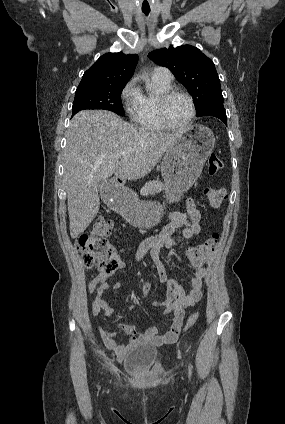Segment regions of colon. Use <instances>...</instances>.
Instances as JSON below:
<instances>
[{
    "mask_svg": "<svg viewBox=\"0 0 285 424\" xmlns=\"http://www.w3.org/2000/svg\"><path fill=\"white\" fill-rule=\"evenodd\" d=\"M222 160L216 154H211L207 159V172L215 175L222 169ZM204 196L210 204L218 208L226 199V191L221 188L208 187L204 190ZM114 231L113 223L105 218L98 217L94 221L90 231L78 238L77 249L82 256L86 268L98 267L100 274L105 277L112 275L120 264L114 247L108 242V236ZM217 237L212 236L207 240L188 248L186 257L193 265L205 262L215 250ZM198 314H191L182 328L191 327L197 320Z\"/></svg>",
    "mask_w": 285,
    "mask_h": 424,
    "instance_id": "obj_1",
    "label": "colon"
}]
</instances>
